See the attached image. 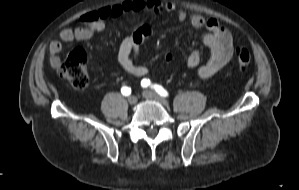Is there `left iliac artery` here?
Returning a JSON list of instances; mask_svg holds the SVG:
<instances>
[{"mask_svg": "<svg viewBox=\"0 0 299 190\" xmlns=\"http://www.w3.org/2000/svg\"><path fill=\"white\" fill-rule=\"evenodd\" d=\"M141 86L142 87H148V86H151V88H154L155 91L160 94L161 96L163 97H166L168 96V92L160 85H152L151 84V81L147 78H144L142 81H141Z\"/></svg>", "mask_w": 299, "mask_h": 190, "instance_id": "obj_1", "label": "left iliac artery"}]
</instances>
